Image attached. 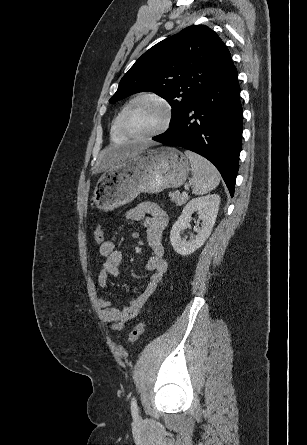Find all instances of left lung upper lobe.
I'll use <instances>...</instances> for the list:
<instances>
[{
    "label": "left lung upper lobe",
    "instance_id": "obj_1",
    "mask_svg": "<svg viewBox=\"0 0 307 445\" xmlns=\"http://www.w3.org/2000/svg\"><path fill=\"white\" fill-rule=\"evenodd\" d=\"M232 64L219 36L205 25L189 26L146 51L123 76L109 100L151 91L172 107V127Z\"/></svg>",
    "mask_w": 307,
    "mask_h": 445
}]
</instances>
